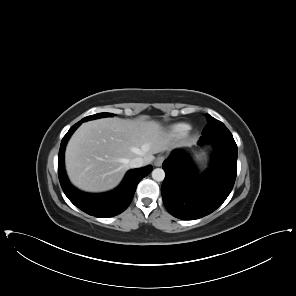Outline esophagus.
<instances>
[{
  "label": "esophagus",
  "mask_w": 296,
  "mask_h": 296,
  "mask_svg": "<svg viewBox=\"0 0 296 296\" xmlns=\"http://www.w3.org/2000/svg\"><path fill=\"white\" fill-rule=\"evenodd\" d=\"M165 157L164 156H158L155 160V166L160 167L162 165V163L164 162Z\"/></svg>",
  "instance_id": "1"
}]
</instances>
